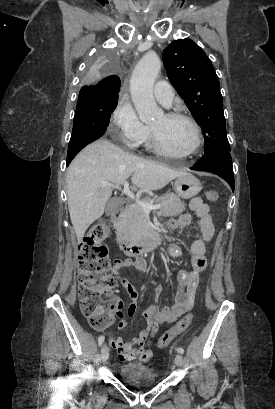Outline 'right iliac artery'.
I'll return each mask as SVG.
<instances>
[{"label":"right iliac artery","instance_id":"1","mask_svg":"<svg viewBox=\"0 0 275 409\" xmlns=\"http://www.w3.org/2000/svg\"><path fill=\"white\" fill-rule=\"evenodd\" d=\"M104 339H105V337H104L103 335H101V336L98 338V345H99V346H101V345L103 344Z\"/></svg>","mask_w":275,"mask_h":409}]
</instances>
